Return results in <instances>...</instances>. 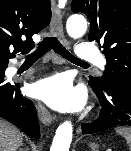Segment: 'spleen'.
I'll list each match as a JSON object with an SVG mask.
<instances>
[{"label": "spleen", "instance_id": "3e777b00", "mask_svg": "<svg viewBox=\"0 0 131 151\" xmlns=\"http://www.w3.org/2000/svg\"><path fill=\"white\" fill-rule=\"evenodd\" d=\"M115 131L119 135H121L123 138H125L127 144L130 147V150H131V129L125 128V127H119V128H116Z\"/></svg>", "mask_w": 131, "mask_h": 151}]
</instances>
